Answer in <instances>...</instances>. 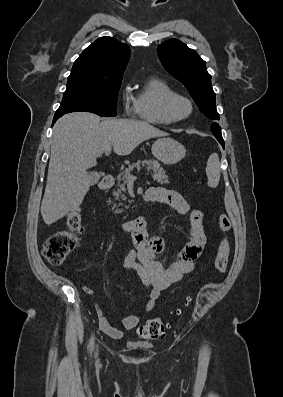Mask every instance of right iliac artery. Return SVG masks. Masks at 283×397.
<instances>
[{
  "label": "right iliac artery",
  "instance_id": "1",
  "mask_svg": "<svg viewBox=\"0 0 283 397\" xmlns=\"http://www.w3.org/2000/svg\"><path fill=\"white\" fill-rule=\"evenodd\" d=\"M93 348H94V338L91 337L90 343H89V350H90V352L93 350Z\"/></svg>",
  "mask_w": 283,
  "mask_h": 397
}]
</instances>
